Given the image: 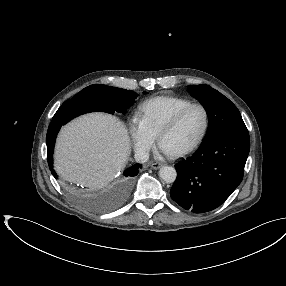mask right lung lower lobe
<instances>
[{
	"instance_id": "right-lung-lower-lobe-1",
	"label": "right lung lower lobe",
	"mask_w": 286,
	"mask_h": 286,
	"mask_svg": "<svg viewBox=\"0 0 286 286\" xmlns=\"http://www.w3.org/2000/svg\"><path fill=\"white\" fill-rule=\"evenodd\" d=\"M62 123L59 121H54L52 120L48 131H47V137H46V142H47V160L48 164L51 170V173L53 176L57 179V174L53 169V150H54V144H55V139L57 136V133L61 127ZM140 164H135L131 166L130 168L126 169L124 171V176L126 181H130L132 177L136 176L138 174V170L140 168Z\"/></svg>"
}]
</instances>
